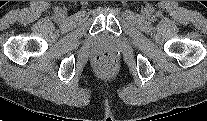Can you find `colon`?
Listing matches in <instances>:
<instances>
[{"instance_id":"obj_1","label":"colon","mask_w":207,"mask_h":121,"mask_svg":"<svg viewBox=\"0 0 207 121\" xmlns=\"http://www.w3.org/2000/svg\"><path fill=\"white\" fill-rule=\"evenodd\" d=\"M95 65L100 72L109 73L116 67V58L110 52H102L96 56Z\"/></svg>"}]
</instances>
